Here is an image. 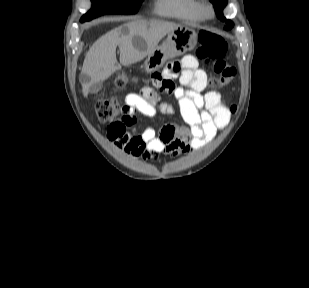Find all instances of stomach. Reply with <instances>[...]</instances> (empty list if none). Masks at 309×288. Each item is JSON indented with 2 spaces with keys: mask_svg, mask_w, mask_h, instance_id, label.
<instances>
[{
  "mask_svg": "<svg viewBox=\"0 0 309 288\" xmlns=\"http://www.w3.org/2000/svg\"><path fill=\"white\" fill-rule=\"evenodd\" d=\"M197 43V33L194 29L179 25L170 32L160 46L146 57L145 69L153 72L160 69L168 60L183 55L192 50Z\"/></svg>",
  "mask_w": 309,
  "mask_h": 288,
  "instance_id": "1",
  "label": "stomach"
}]
</instances>
